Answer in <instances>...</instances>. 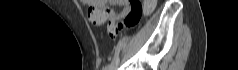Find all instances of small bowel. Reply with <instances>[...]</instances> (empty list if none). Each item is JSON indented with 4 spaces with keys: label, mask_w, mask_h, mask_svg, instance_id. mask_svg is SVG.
Here are the masks:
<instances>
[{
    "label": "small bowel",
    "mask_w": 238,
    "mask_h": 70,
    "mask_svg": "<svg viewBox=\"0 0 238 70\" xmlns=\"http://www.w3.org/2000/svg\"><path fill=\"white\" fill-rule=\"evenodd\" d=\"M84 4L88 6V19L94 25H102L109 19L120 21L129 12L127 0H85ZM108 5H120L124 9L119 13L110 9Z\"/></svg>",
    "instance_id": "1"
}]
</instances>
